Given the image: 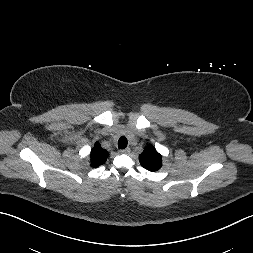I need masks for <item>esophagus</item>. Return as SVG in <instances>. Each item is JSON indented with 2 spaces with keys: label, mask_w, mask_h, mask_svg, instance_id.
<instances>
[{
  "label": "esophagus",
  "mask_w": 253,
  "mask_h": 253,
  "mask_svg": "<svg viewBox=\"0 0 253 253\" xmlns=\"http://www.w3.org/2000/svg\"><path fill=\"white\" fill-rule=\"evenodd\" d=\"M119 152L121 154H128L130 152V149L129 148L121 149Z\"/></svg>",
  "instance_id": "esophagus-1"
}]
</instances>
